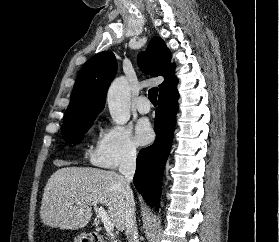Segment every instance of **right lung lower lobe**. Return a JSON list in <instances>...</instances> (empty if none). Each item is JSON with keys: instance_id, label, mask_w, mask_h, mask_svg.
Returning <instances> with one entry per match:
<instances>
[{"instance_id": "1", "label": "right lung lower lobe", "mask_w": 279, "mask_h": 242, "mask_svg": "<svg viewBox=\"0 0 279 242\" xmlns=\"http://www.w3.org/2000/svg\"><path fill=\"white\" fill-rule=\"evenodd\" d=\"M177 89L159 96L155 118L156 139L137 157L134 185L151 206L159 209L165 162L171 147L178 100Z\"/></svg>"}]
</instances>
